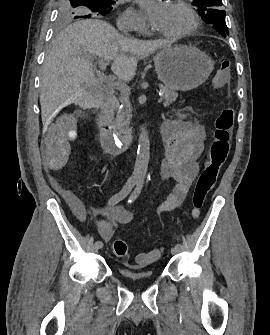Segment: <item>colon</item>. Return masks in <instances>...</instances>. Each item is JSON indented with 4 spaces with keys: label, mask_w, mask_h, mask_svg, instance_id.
Listing matches in <instances>:
<instances>
[{
    "label": "colon",
    "mask_w": 270,
    "mask_h": 335,
    "mask_svg": "<svg viewBox=\"0 0 270 335\" xmlns=\"http://www.w3.org/2000/svg\"><path fill=\"white\" fill-rule=\"evenodd\" d=\"M230 60L222 61L213 80V87L220 89L225 86L231 77ZM235 110L232 107H224L216 116L214 122V141L211 145L208 162L200 172L192 195L191 217L198 220L201 210L205 204L208 193L215 186L221 166L225 163L231 146V128L234 124ZM113 252L119 258H126L128 246L125 240L115 239L113 241ZM162 255L160 248L142 252L135 257L137 266H146L154 263Z\"/></svg>",
    "instance_id": "1"
}]
</instances>
